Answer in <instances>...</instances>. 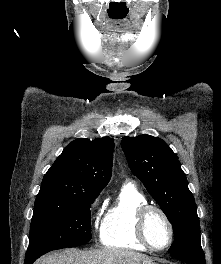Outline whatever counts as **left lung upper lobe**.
<instances>
[{
  "label": "left lung upper lobe",
  "mask_w": 221,
  "mask_h": 264,
  "mask_svg": "<svg viewBox=\"0 0 221 264\" xmlns=\"http://www.w3.org/2000/svg\"><path fill=\"white\" fill-rule=\"evenodd\" d=\"M121 146L132 173L172 224L170 254L201 251L197 208L177 155L162 139L145 134L124 137Z\"/></svg>",
  "instance_id": "obj_1"
}]
</instances>
